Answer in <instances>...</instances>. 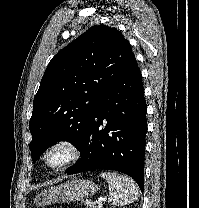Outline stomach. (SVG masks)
Returning <instances> with one entry per match:
<instances>
[{
    "instance_id": "1",
    "label": "stomach",
    "mask_w": 199,
    "mask_h": 208,
    "mask_svg": "<svg viewBox=\"0 0 199 208\" xmlns=\"http://www.w3.org/2000/svg\"><path fill=\"white\" fill-rule=\"evenodd\" d=\"M98 189V186L92 181L72 180L41 192L34 199V203L38 206H45L57 202L81 201L92 196Z\"/></svg>"
}]
</instances>
